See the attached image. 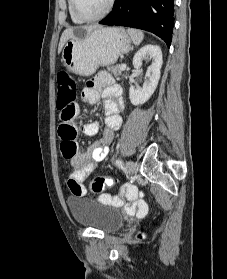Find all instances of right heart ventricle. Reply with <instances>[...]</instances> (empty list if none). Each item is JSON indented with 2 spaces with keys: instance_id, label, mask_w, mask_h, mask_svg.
<instances>
[{
  "instance_id": "right-heart-ventricle-1",
  "label": "right heart ventricle",
  "mask_w": 227,
  "mask_h": 279,
  "mask_svg": "<svg viewBox=\"0 0 227 279\" xmlns=\"http://www.w3.org/2000/svg\"><path fill=\"white\" fill-rule=\"evenodd\" d=\"M67 8H68V12H69V15H70V19L73 23H76V24H80L82 23L81 20H79L73 13L72 11V8H71V0H67Z\"/></svg>"
}]
</instances>
